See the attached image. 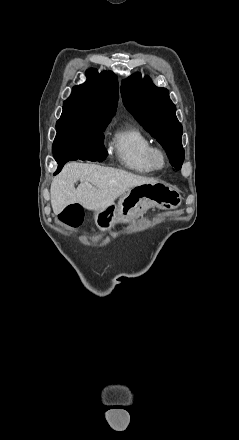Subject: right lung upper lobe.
Segmentation results:
<instances>
[{
  "instance_id": "cb5924a9",
  "label": "right lung upper lobe",
  "mask_w": 239,
  "mask_h": 440,
  "mask_svg": "<svg viewBox=\"0 0 239 440\" xmlns=\"http://www.w3.org/2000/svg\"><path fill=\"white\" fill-rule=\"evenodd\" d=\"M86 76V82L74 86L71 96L64 101L63 112L111 119L119 97L117 77L110 71L99 74L93 68L86 71Z\"/></svg>"
}]
</instances>
